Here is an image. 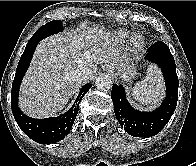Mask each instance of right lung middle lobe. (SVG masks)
<instances>
[{"instance_id":"right-lung-middle-lobe-1","label":"right lung middle lobe","mask_w":196,"mask_h":166,"mask_svg":"<svg viewBox=\"0 0 196 166\" xmlns=\"http://www.w3.org/2000/svg\"><path fill=\"white\" fill-rule=\"evenodd\" d=\"M62 29H63V26H62L60 20L50 21V22L46 23L45 25L41 26L35 32V34L29 40L28 44L39 42L42 39H44V38H46V37H48V36H50L52 34L58 33Z\"/></svg>"}]
</instances>
